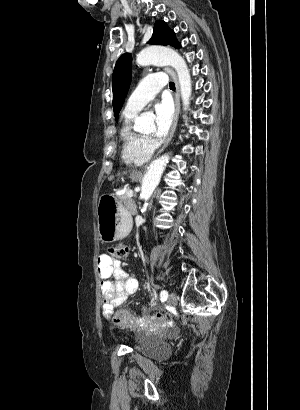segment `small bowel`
I'll return each instance as SVG.
<instances>
[{
    "mask_svg": "<svg viewBox=\"0 0 300 410\" xmlns=\"http://www.w3.org/2000/svg\"><path fill=\"white\" fill-rule=\"evenodd\" d=\"M97 269L103 296L102 314L105 318H110L128 296L136 293L138 282L122 269L120 261L108 254L98 256Z\"/></svg>",
    "mask_w": 300,
    "mask_h": 410,
    "instance_id": "small-bowel-1",
    "label": "small bowel"
}]
</instances>
